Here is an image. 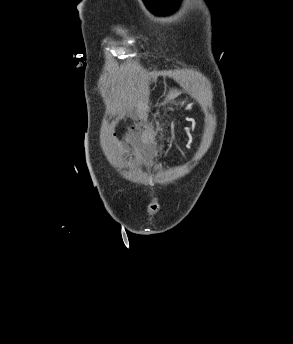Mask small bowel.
Here are the masks:
<instances>
[{"label":"small bowel","mask_w":293,"mask_h":344,"mask_svg":"<svg viewBox=\"0 0 293 344\" xmlns=\"http://www.w3.org/2000/svg\"><path fill=\"white\" fill-rule=\"evenodd\" d=\"M129 141L134 148L150 152L155 146L156 131L149 127L145 128L138 136L131 135Z\"/></svg>","instance_id":"small-bowel-1"}]
</instances>
